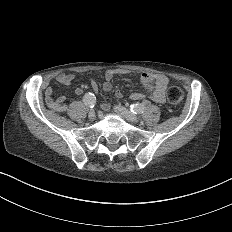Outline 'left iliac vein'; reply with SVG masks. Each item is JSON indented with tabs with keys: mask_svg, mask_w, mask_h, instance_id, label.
<instances>
[{
	"mask_svg": "<svg viewBox=\"0 0 232 232\" xmlns=\"http://www.w3.org/2000/svg\"><path fill=\"white\" fill-rule=\"evenodd\" d=\"M112 111L117 112L120 115L127 118L130 122L137 123L139 121L138 115L133 113L132 111H128L127 109L123 108L122 106L113 105Z\"/></svg>",
	"mask_w": 232,
	"mask_h": 232,
	"instance_id": "left-iliac-vein-1",
	"label": "left iliac vein"
}]
</instances>
